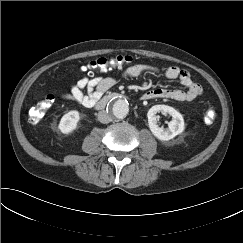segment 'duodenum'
<instances>
[{
    "label": "duodenum",
    "mask_w": 243,
    "mask_h": 243,
    "mask_svg": "<svg viewBox=\"0 0 243 243\" xmlns=\"http://www.w3.org/2000/svg\"><path fill=\"white\" fill-rule=\"evenodd\" d=\"M122 95L119 93H110L104 97H102L101 99L97 100L94 104V107L96 109H103L105 108L110 102L121 98Z\"/></svg>",
    "instance_id": "duodenum-1"
}]
</instances>
